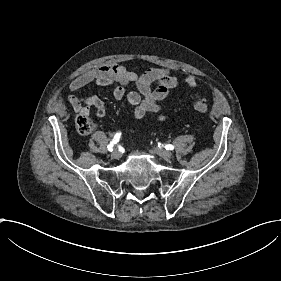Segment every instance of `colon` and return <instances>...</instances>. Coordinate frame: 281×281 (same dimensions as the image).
I'll use <instances>...</instances> for the list:
<instances>
[{
    "mask_svg": "<svg viewBox=\"0 0 281 281\" xmlns=\"http://www.w3.org/2000/svg\"><path fill=\"white\" fill-rule=\"evenodd\" d=\"M192 108L198 114H207L210 111V103L205 99H198L193 102ZM77 129L81 133H89L92 123L88 118L81 117L77 120Z\"/></svg>",
    "mask_w": 281,
    "mask_h": 281,
    "instance_id": "5ec220e1",
    "label": "colon"
}]
</instances>
